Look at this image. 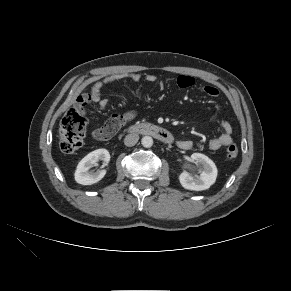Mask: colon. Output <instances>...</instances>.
Listing matches in <instances>:
<instances>
[{
    "instance_id": "5ec220e1",
    "label": "colon",
    "mask_w": 291,
    "mask_h": 291,
    "mask_svg": "<svg viewBox=\"0 0 291 291\" xmlns=\"http://www.w3.org/2000/svg\"><path fill=\"white\" fill-rule=\"evenodd\" d=\"M89 102V95L80 96L77 100V106L71 108L60 123L59 144L64 153H73L83 145L88 128V120L83 114L82 107ZM121 125V119L113 117L106 123V129L110 135H113ZM226 156L230 160L238 156V148L235 144L228 145Z\"/></svg>"
}]
</instances>
